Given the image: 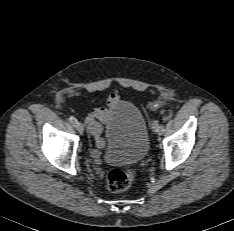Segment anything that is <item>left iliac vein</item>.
I'll return each instance as SVG.
<instances>
[{"instance_id":"1","label":"left iliac vein","mask_w":234,"mask_h":231,"mask_svg":"<svg viewBox=\"0 0 234 231\" xmlns=\"http://www.w3.org/2000/svg\"><path fill=\"white\" fill-rule=\"evenodd\" d=\"M158 127H159L158 121H154L153 124H152L153 132L157 133L158 132Z\"/></svg>"}]
</instances>
